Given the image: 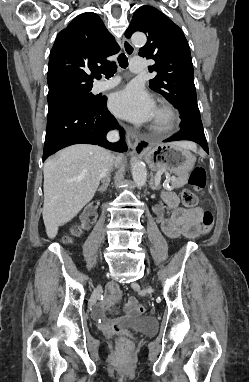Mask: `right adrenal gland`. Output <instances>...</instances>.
<instances>
[{
  "mask_svg": "<svg viewBox=\"0 0 249 382\" xmlns=\"http://www.w3.org/2000/svg\"><path fill=\"white\" fill-rule=\"evenodd\" d=\"M108 183H109V178H108V180L106 181V183H104V184L98 189V191L101 192V193H103L104 191H106V190H107V187H108Z\"/></svg>",
  "mask_w": 249,
  "mask_h": 382,
  "instance_id": "right-adrenal-gland-1",
  "label": "right adrenal gland"
}]
</instances>
